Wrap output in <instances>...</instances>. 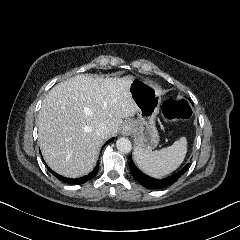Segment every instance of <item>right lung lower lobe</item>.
Here are the masks:
<instances>
[{"instance_id": "obj_1", "label": "right lung lower lobe", "mask_w": 240, "mask_h": 240, "mask_svg": "<svg viewBox=\"0 0 240 240\" xmlns=\"http://www.w3.org/2000/svg\"><path fill=\"white\" fill-rule=\"evenodd\" d=\"M113 140H114V138L109 139V140L106 142V144L112 142ZM106 144H105V145H106ZM47 168H48V170H49L57 179H59V180L62 181V182H65V183H67V184H83V183L91 180V179L96 175L97 170H98V165H97V166L95 167V169H94L91 173H89L88 175L83 176V177H81V178H77V179H71V178L63 177V176L55 173L54 171H52L48 166H47Z\"/></svg>"}]
</instances>
